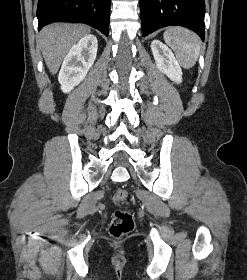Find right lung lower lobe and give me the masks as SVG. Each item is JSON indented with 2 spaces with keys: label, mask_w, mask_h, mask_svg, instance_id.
<instances>
[{
  "label": "right lung lower lobe",
  "mask_w": 247,
  "mask_h": 280,
  "mask_svg": "<svg viewBox=\"0 0 247 280\" xmlns=\"http://www.w3.org/2000/svg\"><path fill=\"white\" fill-rule=\"evenodd\" d=\"M111 0H38V29L46 24L83 22L108 36Z\"/></svg>",
  "instance_id": "right-lung-lower-lobe-1"
}]
</instances>
